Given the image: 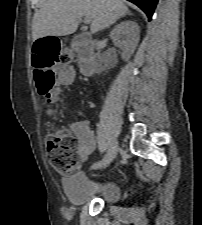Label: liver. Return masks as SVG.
Here are the masks:
<instances>
[{"mask_svg": "<svg viewBox=\"0 0 202 225\" xmlns=\"http://www.w3.org/2000/svg\"><path fill=\"white\" fill-rule=\"evenodd\" d=\"M127 13L123 0H46L33 19V40L72 34L83 16L92 19L90 31L94 34Z\"/></svg>", "mask_w": 202, "mask_h": 225, "instance_id": "1", "label": "liver"}]
</instances>
